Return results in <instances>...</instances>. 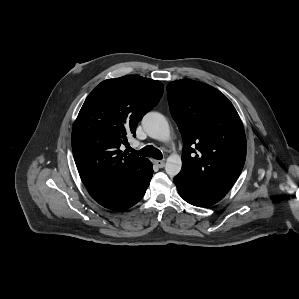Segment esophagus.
<instances>
[{"label": "esophagus", "instance_id": "obj_1", "mask_svg": "<svg viewBox=\"0 0 299 299\" xmlns=\"http://www.w3.org/2000/svg\"><path fill=\"white\" fill-rule=\"evenodd\" d=\"M154 164L159 168H163L165 166V160H154Z\"/></svg>", "mask_w": 299, "mask_h": 299}]
</instances>
